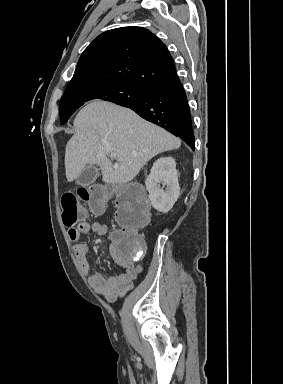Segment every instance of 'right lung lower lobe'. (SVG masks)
I'll use <instances>...</instances> for the list:
<instances>
[{"label":"right lung lower lobe","mask_w":283,"mask_h":384,"mask_svg":"<svg viewBox=\"0 0 283 384\" xmlns=\"http://www.w3.org/2000/svg\"><path fill=\"white\" fill-rule=\"evenodd\" d=\"M119 105L180 137L194 150L190 109L177 75L150 87L143 98Z\"/></svg>","instance_id":"1"}]
</instances>
